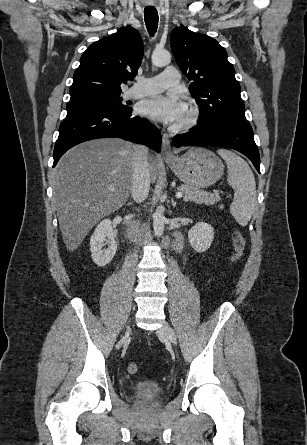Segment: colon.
Returning a JSON list of instances; mask_svg holds the SVG:
<instances>
[{"instance_id":"5ec220e1","label":"colon","mask_w":307,"mask_h":445,"mask_svg":"<svg viewBox=\"0 0 307 445\" xmlns=\"http://www.w3.org/2000/svg\"><path fill=\"white\" fill-rule=\"evenodd\" d=\"M233 254L231 256V262L237 263L244 254L246 248V240L244 235L240 231H235L232 235ZM130 374H136L139 371V365L137 363H130L127 368Z\"/></svg>"}]
</instances>
